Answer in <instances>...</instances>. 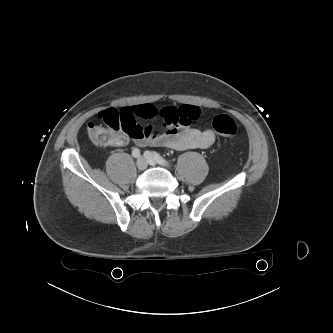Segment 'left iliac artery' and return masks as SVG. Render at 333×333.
I'll use <instances>...</instances> for the list:
<instances>
[{
  "label": "left iliac artery",
  "instance_id": "left-iliac-artery-1",
  "mask_svg": "<svg viewBox=\"0 0 333 333\" xmlns=\"http://www.w3.org/2000/svg\"><path fill=\"white\" fill-rule=\"evenodd\" d=\"M145 157H148V156H152L158 164L160 165H164V166H169L170 163L165 160L159 153L157 152H150V151H146L145 154H144Z\"/></svg>",
  "mask_w": 333,
  "mask_h": 333
}]
</instances>
